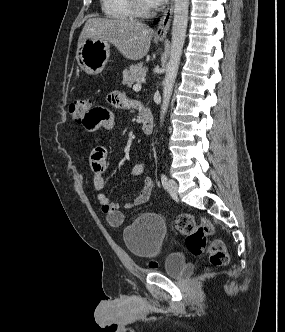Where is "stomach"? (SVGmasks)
I'll return each mask as SVG.
<instances>
[{"instance_id":"1","label":"stomach","mask_w":285,"mask_h":332,"mask_svg":"<svg viewBox=\"0 0 285 332\" xmlns=\"http://www.w3.org/2000/svg\"><path fill=\"white\" fill-rule=\"evenodd\" d=\"M109 56L110 45L107 41L87 37L78 47L76 59L83 71L89 75H97L104 69Z\"/></svg>"}]
</instances>
